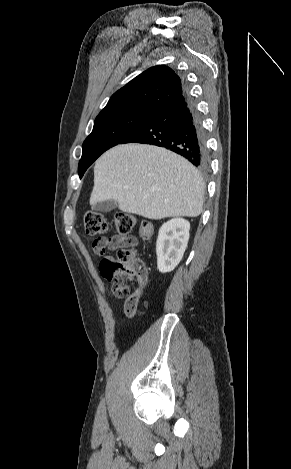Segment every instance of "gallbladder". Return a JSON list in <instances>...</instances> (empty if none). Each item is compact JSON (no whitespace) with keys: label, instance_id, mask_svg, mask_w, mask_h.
I'll use <instances>...</instances> for the list:
<instances>
[{"label":"gallbladder","instance_id":"bac80fb5","mask_svg":"<svg viewBox=\"0 0 291 469\" xmlns=\"http://www.w3.org/2000/svg\"><path fill=\"white\" fill-rule=\"evenodd\" d=\"M117 208V203L113 200L98 202L93 209L98 212L108 213Z\"/></svg>","mask_w":291,"mask_h":469}]
</instances>
